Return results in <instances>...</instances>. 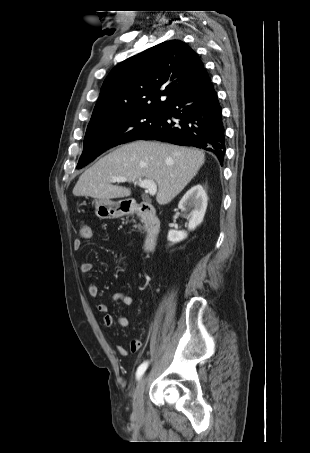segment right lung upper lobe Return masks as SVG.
<instances>
[{"label":"right lung upper lobe","instance_id":"obj_1","mask_svg":"<svg viewBox=\"0 0 310 453\" xmlns=\"http://www.w3.org/2000/svg\"><path fill=\"white\" fill-rule=\"evenodd\" d=\"M204 71L197 53L182 41H165L151 47L112 69L101 87L89 124L134 111L163 110Z\"/></svg>","mask_w":310,"mask_h":453}]
</instances>
